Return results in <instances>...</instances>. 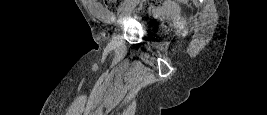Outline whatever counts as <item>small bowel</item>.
I'll return each instance as SVG.
<instances>
[{"label": "small bowel", "mask_w": 267, "mask_h": 115, "mask_svg": "<svg viewBox=\"0 0 267 115\" xmlns=\"http://www.w3.org/2000/svg\"><path fill=\"white\" fill-rule=\"evenodd\" d=\"M86 2L89 8L91 9V11L93 12V14L97 16L98 18L105 19V20H110L112 18V13L108 11L107 9H105L100 2L96 0H87ZM170 8H172V5L166 4L165 6L158 8L157 10L164 11Z\"/></svg>", "instance_id": "1"}]
</instances>
